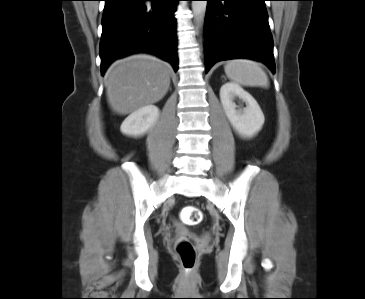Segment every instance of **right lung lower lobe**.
Listing matches in <instances>:
<instances>
[{
	"mask_svg": "<svg viewBox=\"0 0 365 299\" xmlns=\"http://www.w3.org/2000/svg\"><path fill=\"white\" fill-rule=\"evenodd\" d=\"M101 74L116 59L150 52L178 69L174 12L179 0H104Z\"/></svg>",
	"mask_w": 365,
	"mask_h": 299,
	"instance_id": "1",
	"label": "right lung lower lobe"
}]
</instances>
